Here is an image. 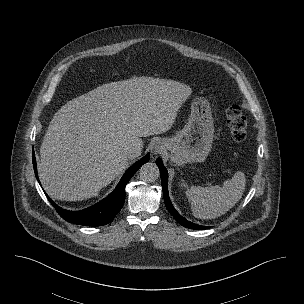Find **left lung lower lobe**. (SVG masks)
Wrapping results in <instances>:
<instances>
[{
    "instance_id": "0a47b994",
    "label": "left lung lower lobe",
    "mask_w": 304,
    "mask_h": 304,
    "mask_svg": "<svg viewBox=\"0 0 304 304\" xmlns=\"http://www.w3.org/2000/svg\"><path fill=\"white\" fill-rule=\"evenodd\" d=\"M156 164L159 167L160 170V176H161V182H162V188H163V195H164V202L168 209V211L172 214V216L175 218V220L181 224L182 226L190 229H196V230H202L210 228L209 226H202L195 223H192L185 218H183L173 207L169 195H168V172L166 168L164 167L162 160L158 158L156 160Z\"/></svg>"
}]
</instances>
